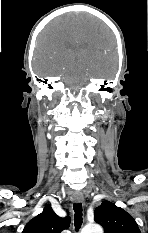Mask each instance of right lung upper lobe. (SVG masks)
I'll return each mask as SVG.
<instances>
[{"mask_svg": "<svg viewBox=\"0 0 148 233\" xmlns=\"http://www.w3.org/2000/svg\"><path fill=\"white\" fill-rule=\"evenodd\" d=\"M70 218H61L55 214L50 205H47L43 212L31 219L22 233H60L68 229Z\"/></svg>", "mask_w": 148, "mask_h": 233, "instance_id": "1", "label": "right lung upper lobe"}]
</instances>
